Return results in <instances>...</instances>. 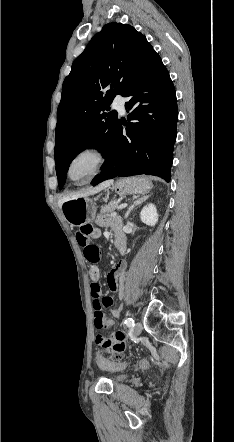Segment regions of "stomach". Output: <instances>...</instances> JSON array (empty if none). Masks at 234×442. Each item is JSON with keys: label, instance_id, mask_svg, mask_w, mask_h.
Masks as SVG:
<instances>
[{"label": "stomach", "instance_id": "1", "mask_svg": "<svg viewBox=\"0 0 234 442\" xmlns=\"http://www.w3.org/2000/svg\"><path fill=\"white\" fill-rule=\"evenodd\" d=\"M152 188L151 181L146 177L118 179L113 189L118 195L145 194ZM61 209L66 220L73 226L90 223L96 215V207L92 199L80 197L64 202Z\"/></svg>", "mask_w": 234, "mask_h": 442}]
</instances>
